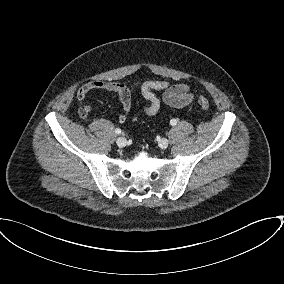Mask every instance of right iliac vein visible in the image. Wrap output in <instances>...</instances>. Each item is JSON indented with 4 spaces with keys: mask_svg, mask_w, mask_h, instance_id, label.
Listing matches in <instances>:
<instances>
[{
    "mask_svg": "<svg viewBox=\"0 0 284 284\" xmlns=\"http://www.w3.org/2000/svg\"><path fill=\"white\" fill-rule=\"evenodd\" d=\"M116 143H117L118 147L122 148V147L126 146L127 140L124 137H118L117 140H116Z\"/></svg>",
    "mask_w": 284,
    "mask_h": 284,
    "instance_id": "obj_1",
    "label": "right iliac vein"
}]
</instances>
